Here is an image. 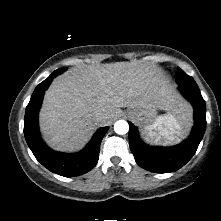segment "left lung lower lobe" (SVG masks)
I'll return each mask as SVG.
<instances>
[{
	"label": "left lung lower lobe",
	"mask_w": 221,
	"mask_h": 221,
	"mask_svg": "<svg viewBox=\"0 0 221 221\" xmlns=\"http://www.w3.org/2000/svg\"><path fill=\"white\" fill-rule=\"evenodd\" d=\"M184 97L194 107V126L189 138L174 147H150L139 137L137 128L129 122V144L135 161L154 173L174 172L195 154L206 129V106L198 86H179Z\"/></svg>",
	"instance_id": "1"
}]
</instances>
